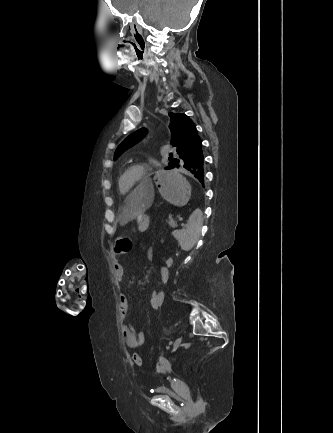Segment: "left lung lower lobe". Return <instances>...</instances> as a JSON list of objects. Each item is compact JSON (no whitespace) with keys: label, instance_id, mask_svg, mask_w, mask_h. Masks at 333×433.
Here are the masks:
<instances>
[{"label":"left lung lower lobe","instance_id":"obj_1","mask_svg":"<svg viewBox=\"0 0 333 433\" xmlns=\"http://www.w3.org/2000/svg\"><path fill=\"white\" fill-rule=\"evenodd\" d=\"M201 139L190 145L174 162L173 168L187 171L204 183V155Z\"/></svg>","mask_w":333,"mask_h":433}]
</instances>
